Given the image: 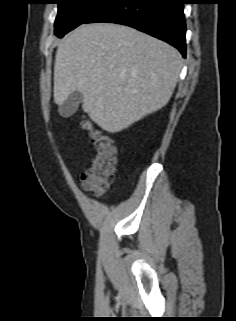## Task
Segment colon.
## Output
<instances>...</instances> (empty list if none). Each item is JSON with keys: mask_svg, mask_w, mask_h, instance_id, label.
Instances as JSON below:
<instances>
[{"mask_svg": "<svg viewBox=\"0 0 236 321\" xmlns=\"http://www.w3.org/2000/svg\"><path fill=\"white\" fill-rule=\"evenodd\" d=\"M81 128L90 132L95 146V154L91 157L86 170L82 173L80 184L84 191L92 195L105 192L114 180L116 165V149L112 139L91 121L85 119Z\"/></svg>", "mask_w": 236, "mask_h": 321, "instance_id": "5ec220e1", "label": "colon"}]
</instances>
